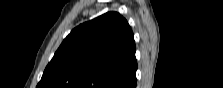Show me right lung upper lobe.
I'll return each instance as SVG.
<instances>
[{
	"label": "right lung upper lobe",
	"instance_id": "cb5924a9",
	"mask_svg": "<svg viewBox=\"0 0 223 88\" xmlns=\"http://www.w3.org/2000/svg\"><path fill=\"white\" fill-rule=\"evenodd\" d=\"M133 32L117 12L80 24L64 39L37 88H132Z\"/></svg>",
	"mask_w": 223,
	"mask_h": 88
}]
</instances>
